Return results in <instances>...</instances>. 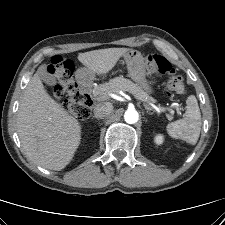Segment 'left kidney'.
Instances as JSON below:
<instances>
[{
	"mask_svg": "<svg viewBox=\"0 0 225 225\" xmlns=\"http://www.w3.org/2000/svg\"><path fill=\"white\" fill-rule=\"evenodd\" d=\"M163 141H164V138L161 134L156 135V137H155V143L156 144L160 145V144L163 143Z\"/></svg>",
	"mask_w": 225,
	"mask_h": 225,
	"instance_id": "5707ae66",
	"label": "left kidney"
}]
</instances>
